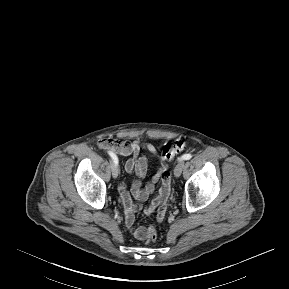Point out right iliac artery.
<instances>
[{"label": "right iliac artery", "mask_w": 289, "mask_h": 289, "mask_svg": "<svg viewBox=\"0 0 289 289\" xmlns=\"http://www.w3.org/2000/svg\"><path fill=\"white\" fill-rule=\"evenodd\" d=\"M108 154L112 158L113 162L117 165L118 164V158H117L116 154H114L111 151H108Z\"/></svg>", "instance_id": "obj_1"}]
</instances>
